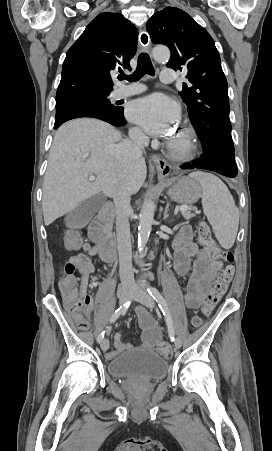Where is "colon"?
Listing matches in <instances>:
<instances>
[{
  "label": "colon",
  "mask_w": 272,
  "mask_h": 451,
  "mask_svg": "<svg viewBox=\"0 0 272 451\" xmlns=\"http://www.w3.org/2000/svg\"><path fill=\"white\" fill-rule=\"evenodd\" d=\"M199 239L208 248V258H223L227 261L224 269L220 271L217 281L212 285L205 298L204 312L211 313L213 308L220 302L226 293L235 270V258L228 249H218L217 243L212 239L210 231L206 224H203L198 231ZM62 249H77L80 237L76 230H63ZM80 271H94V262H88L87 258H69L59 274V283L61 286V296L65 297V303H72L73 310H86L90 307V294H86L85 288H78L76 280V268ZM193 325L201 323L199 317L192 320ZM89 326L87 320H81L77 323L79 329H86ZM157 354H174V345H168L165 342H158L156 345Z\"/></svg>",
  "instance_id": "1"
}]
</instances>
